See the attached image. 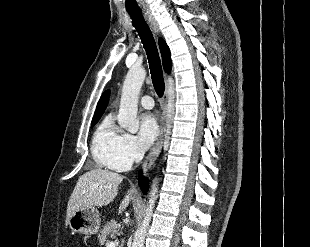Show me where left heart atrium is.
Segmentation results:
<instances>
[{
  "label": "left heart atrium",
  "instance_id": "39dd6f15",
  "mask_svg": "<svg viewBox=\"0 0 310 247\" xmlns=\"http://www.w3.org/2000/svg\"><path fill=\"white\" fill-rule=\"evenodd\" d=\"M159 126L152 114H145L140 118L139 140L143 148L150 147L157 139Z\"/></svg>",
  "mask_w": 310,
  "mask_h": 247
}]
</instances>
